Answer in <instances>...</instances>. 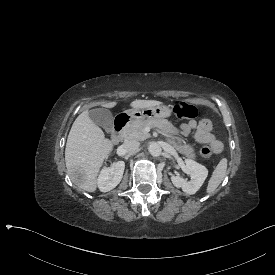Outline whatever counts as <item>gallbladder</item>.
I'll return each instance as SVG.
<instances>
[{
	"label": "gallbladder",
	"instance_id": "gallbladder-1",
	"mask_svg": "<svg viewBox=\"0 0 275 275\" xmlns=\"http://www.w3.org/2000/svg\"><path fill=\"white\" fill-rule=\"evenodd\" d=\"M90 119L101 126L108 134L114 129L113 115L111 111L102 108L91 109L89 111Z\"/></svg>",
	"mask_w": 275,
	"mask_h": 275
}]
</instances>
